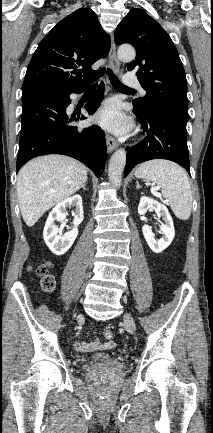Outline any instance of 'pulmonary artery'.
Here are the masks:
<instances>
[{"label":"pulmonary artery","mask_w":213,"mask_h":433,"mask_svg":"<svg viewBox=\"0 0 213 433\" xmlns=\"http://www.w3.org/2000/svg\"><path fill=\"white\" fill-rule=\"evenodd\" d=\"M123 83L128 87H138L142 92H144V90L140 87L138 79L133 73H127L124 76Z\"/></svg>","instance_id":"obj_1"}]
</instances>
